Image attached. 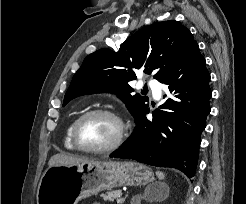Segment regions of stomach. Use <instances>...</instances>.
<instances>
[{"mask_svg": "<svg viewBox=\"0 0 246 204\" xmlns=\"http://www.w3.org/2000/svg\"><path fill=\"white\" fill-rule=\"evenodd\" d=\"M154 180L152 170L133 161L54 165L41 177L37 204H77L99 192L121 186H139Z\"/></svg>", "mask_w": 246, "mask_h": 204, "instance_id": "stomach-1", "label": "stomach"}]
</instances>
